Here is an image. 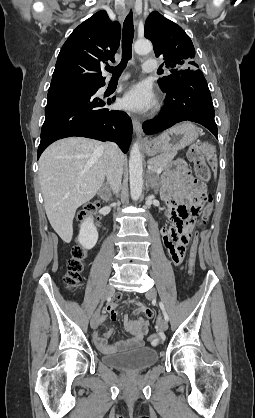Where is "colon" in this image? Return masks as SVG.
Here are the masks:
<instances>
[{"label":"colon","instance_id":"obj_1","mask_svg":"<svg viewBox=\"0 0 255 418\" xmlns=\"http://www.w3.org/2000/svg\"><path fill=\"white\" fill-rule=\"evenodd\" d=\"M189 160L193 163L195 173L201 181H208L214 171L213 164V148L207 143H196L194 144L189 153ZM99 206V202H91L85 205L83 210L80 213V220L85 222L91 218L96 217V210ZM212 211V198L210 196L204 197V208L202 211V216L199 219H196L197 211H192L189 217L181 221L176 225L175 228H201L205 224L206 217ZM198 235L193 234L189 245L188 253V266L190 272H192L196 251L199 249L198 246ZM86 256V251L80 246H76L73 250L72 257L68 261V268L66 275L64 277L65 283L70 288H75L82 281V273L84 269V259ZM160 336L158 334H151L148 338V341L152 345H158L160 343Z\"/></svg>","mask_w":255,"mask_h":418}]
</instances>
